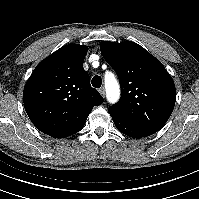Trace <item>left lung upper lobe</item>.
<instances>
[{
	"label": "left lung upper lobe",
	"mask_w": 199,
	"mask_h": 199,
	"mask_svg": "<svg viewBox=\"0 0 199 199\" xmlns=\"http://www.w3.org/2000/svg\"><path fill=\"white\" fill-rule=\"evenodd\" d=\"M107 63L121 84V98L109 107L110 115L154 134L169 119L175 105L176 89L163 64L134 42L100 43Z\"/></svg>",
	"instance_id": "5c2ea615"
}]
</instances>
